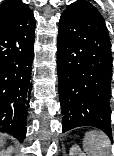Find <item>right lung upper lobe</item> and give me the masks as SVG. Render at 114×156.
<instances>
[{
  "label": "right lung upper lobe",
  "instance_id": "right-lung-upper-lobe-1",
  "mask_svg": "<svg viewBox=\"0 0 114 156\" xmlns=\"http://www.w3.org/2000/svg\"><path fill=\"white\" fill-rule=\"evenodd\" d=\"M29 9L20 0H6L0 5V23Z\"/></svg>",
  "mask_w": 114,
  "mask_h": 156
}]
</instances>
